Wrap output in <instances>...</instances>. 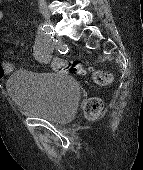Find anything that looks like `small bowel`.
<instances>
[{"label": "small bowel", "mask_w": 143, "mask_h": 170, "mask_svg": "<svg viewBox=\"0 0 143 170\" xmlns=\"http://www.w3.org/2000/svg\"><path fill=\"white\" fill-rule=\"evenodd\" d=\"M1 2V0H0ZM4 13L0 10V23L3 21ZM31 52L33 56L40 62L47 63L50 61L51 55L48 50L43 48L40 43L35 42L31 46ZM58 61H54L52 66L57 70L56 65ZM13 65L9 62H0V78L5 77L13 72Z\"/></svg>", "instance_id": "obj_1"}]
</instances>
